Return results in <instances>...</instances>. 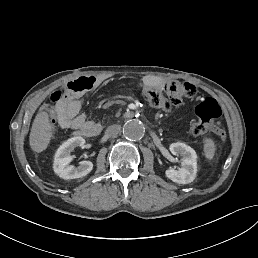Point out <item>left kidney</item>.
<instances>
[{
  "label": "left kidney",
  "instance_id": "1",
  "mask_svg": "<svg viewBox=\"0 0 258 258\" xmlns=\"http://www.w3.org/2000/svg\"><path fill=\"white\" fill-rule=\"evenodd\" d=\"M169 150L173 155L182 156V167L178 170L173 168L166 170V176L173 182L179 184H188L193 182L197 174V154L195 150L181 142L170 144Z\"/></svg>",
  "mask_w": 258,
  "mask_h": 258
}]
</instances>
